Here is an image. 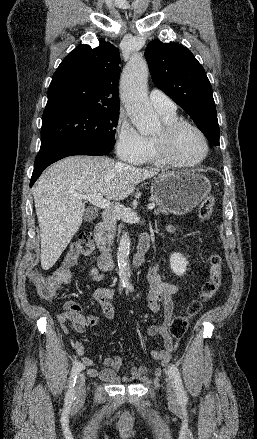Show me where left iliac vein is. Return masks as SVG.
Instances as JSON below:
<instances>
[{
    "instance_id": "4c4485c4",
    "label": "left iliac vein",
    "mask_w": 257,
    "mask_h": 439,
    "mask_svg": "<svg viewBox=\"0 0 257 439\" xmlns=\"http://www.w3.org/2000/svg\"><path fill=\"white\" fill-rule=\"evenodd\" d=\"M166 392H167V398H168L169 402L172 404L176 403L177 391H176L175 382L171 377H168V379H167Z\"/></svg>"
}]
</instances>
